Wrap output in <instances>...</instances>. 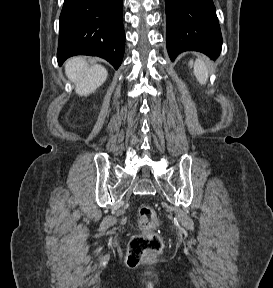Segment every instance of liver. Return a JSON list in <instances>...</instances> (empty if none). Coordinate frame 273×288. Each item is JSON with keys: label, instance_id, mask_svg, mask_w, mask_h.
Instances as JSON below:
<instances>
[{"label": "liver", "instance_id": "1", "mask_svg": "<svg viewBox=\"0 0 273 288\" xmlns=\"http://www.w3.org/2000/svg\"><path fill=\"white\" fill-rule=\"evenodd\" d=\"M65 72L70 81L75 83V91L80 96H88L98 89L107 79L108 72L102 66H88L82 57H74L65 64Z\"/></svg>", "mask_w": 273, "mask_h": 288}]
</instances>
